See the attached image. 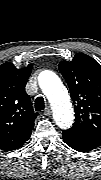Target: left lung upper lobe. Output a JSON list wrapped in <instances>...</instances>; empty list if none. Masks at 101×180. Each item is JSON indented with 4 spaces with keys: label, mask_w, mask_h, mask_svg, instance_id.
<instances>
[{
    "label": "left lung upper lobe",
    "mask_w": 101,
    "mask_h": 180,
    "mask_svg": "<svg viewBox=\"0 0 101 180\" xmlns=\"http://www.w3.org/2000/svg\"><path fill=\"white\" fill-rule=\"evenodd\" d=\"M59 70L75 104V122L67 131L101 140V66L78 53L72 61L60 62Z\"/></svg>",
    "instance_id": "1"
}]
</instances>
